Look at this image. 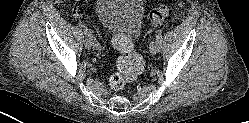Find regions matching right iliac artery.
<instances>
[{
	"label": "right iliac artery",
	"instance_id": "1",
	"mask_svg": "<svg viewBox=\"0 0 249 123\" xmlns=\"http://www.w3.org/2000/svg\"><path fill=\"white\" fill-rule=\"evenodd\" d=\"M85 35L90 39L92 45L94 46V48H96L97 50L101 49V45L97 42L96 38L93 36L92 32L87 28L84 27L83 28Z\"/></svg>",
	"mask_w": 249,
	"mask_h": 123
}]
</instances>
